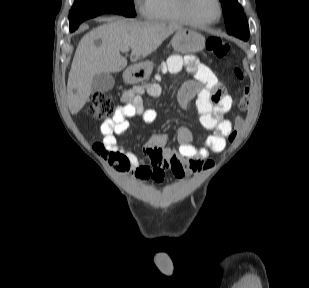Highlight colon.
Listing matches in <instances>:
<instances>
[{"mask_svg": "<svg viewBox=\"0 0 309 288\" xmlns=\"http://www.w3.org/2000/svg\"><path fill=\"white\" fill-rule=\"evenodd\" d=\"M207 48L217 57H224L228 54L230 50L229 44L217 37H210L207 39ZM235 77L243 81L244 73L241 68H234ZM250 104V88L248 86L244 87L243 94L238 102V109L240 111H245ZM117 110V107L112 100V98L106 93H96L92 98V104L89 109V115L93 119H104L113 115ZM243 124V118L240 115L235 117V126L231 133L229 134V141L232 143L235 141L238 131ZM95 149L104 154L108 159L109 163L113 166H119L120 163L125 162V157L120 153L108 152L105 145L102 143H96ZM214 165V161L209 160L203 165L204 169H210Z\"/></svg>", "mask_w": 309, "mask_h": 288, "instance_id": "1", "label": "colon"}]
</instances>
